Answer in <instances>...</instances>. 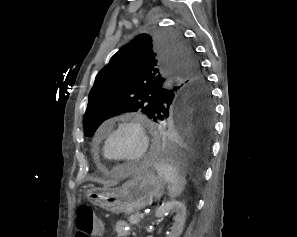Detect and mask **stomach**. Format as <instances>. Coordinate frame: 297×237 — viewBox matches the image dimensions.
I'll use <instances>...</instances> for the list:
<instances>
[{"mask_svg": "<svg viewBox=\"0 0 297 237\" xmlns=\"http://www.w3.org/2000/svg\"><path fill=\"white\" fill-rule=\"evenodd\" d=\"M163 192L164 182L152 170H148L129 179L119 188L87 190L86 197L109 212L133 214L160 199Z\"/></svg>", "mask_w": 297, "mask_h": 237, "instance_id": "stomach-1", "label": "stomach"}]
</instances>
